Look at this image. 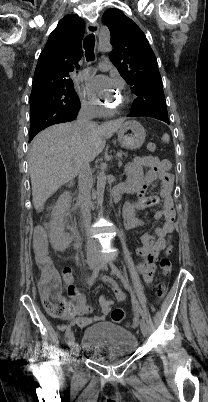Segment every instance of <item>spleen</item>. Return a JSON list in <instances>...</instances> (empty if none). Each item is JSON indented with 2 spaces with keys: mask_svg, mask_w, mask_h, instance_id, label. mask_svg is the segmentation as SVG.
<instances>
[{
  "mask_svg": "<svg viewBox=\"0 0 208 402\" xmlns=\"http://www.w3.org/2000/svg\"><path fill=\"white\" fill-rule=\"evenodd\" d=\"M161 140H163V142H166V144H169L170 138H169L168 134H163Z\"/></svg>",
  "mask_w": 208,
  "mask_h": 402,
  "instance_id": "1",
  "label": "spleen"
}]
</instances>
